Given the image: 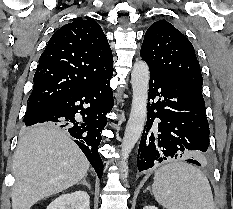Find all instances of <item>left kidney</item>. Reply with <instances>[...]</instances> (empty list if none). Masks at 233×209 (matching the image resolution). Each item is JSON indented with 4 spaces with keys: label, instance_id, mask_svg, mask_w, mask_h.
Here are the masks:
<instances>
[{
    "label": "left kidney",
    "instance_id": "1",
    "mask_svg": "<svg viewBox=\"0 0 233 209\" xmlns=\"http://www.w3.org/2000/svg\"><path fill=\"white\" fill-rule=\"evenodd\" d=\"M143 209H157L155 206H145Z\"/></svg>",
    "mask_w": 233,
    "mask_h": 209
}]
</instances>
